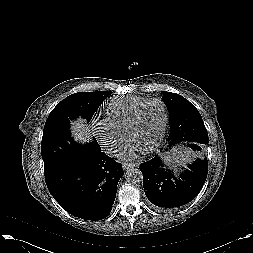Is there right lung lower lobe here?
<instances>
[{
  "mask_svg": "<svg viewBox=\"0 0 253 253\" xmlns=\"http://www.w3.org/2000/svg\"><path fill=\"white\" fill-rule=\"evenodd\" d=\"M123 174L121 164L99 146L77 160L45 168V181L51 195L68 213L98 221L110 214Z\"/></svg>",
  "mask_w": 253,
  "mask_h": 253,
  "instance_id": "1",
  "label": "right lung lower lobe"
}]
</instances>
